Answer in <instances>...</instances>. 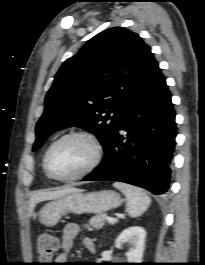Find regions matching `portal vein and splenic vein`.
Returning a JSON list of instances; mask_svg holds the SVG:
<instances>
[{
	"mask_svg": "<svg viewBox=\"0 0 205 265\" xmlns=\"http://www.w3.org/2000/svg\"><path fill=\"white\" fill-rule=\"evenodd\" d=\"M107 221L110 222V223H114L116 221V219L113 218V217H108Z\"/></svg>",
	"mask_w": 205,
	"mask_h": 265,
	"instance_id": "18ae733b",
	"label": "portal vein and splenic vein"
}]
</instances>
